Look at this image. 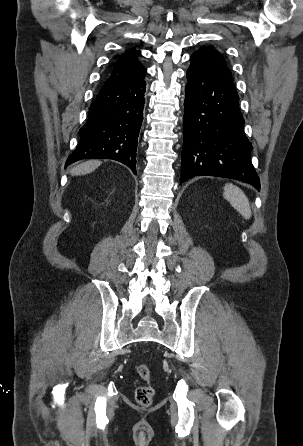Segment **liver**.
<instances>
[{
    "mask_svg": "<svg viewBox=\"0 0 303 446\" xmlns=\"http://www.w3.org/2000/svg\"><path fill=\"white\" fill-rule=\"evenodd\" d=\"M101 165V161L98 160H89L86 162H83L76 167H74L71 170L72 175H85L88 173H91L96 168H98Z\"/></svg>",
    "mask_w": 303,
    "mask_h": 446,
    "instance_id": "1",
    "label": "liver"
}]
</instances>
